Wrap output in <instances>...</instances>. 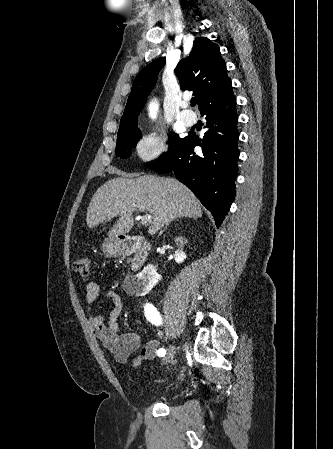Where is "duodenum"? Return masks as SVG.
<instances>
[{"instance_id":"obj_1","label":"duodenum","mask_w":333,"mask_h":449,"mask_svg":"<svg viewBox=\"0 0 333 449\" xmlns=\"http://www.w3.org/2000/svg\"><path fill=\"white\" fill-rule=\"evenodd\" d=\"M114 251L117 254H131L133 256L131 269L137 271L145 264L150 245L143 237H118L114 242Z\"/></svg>"}]
</instances>
